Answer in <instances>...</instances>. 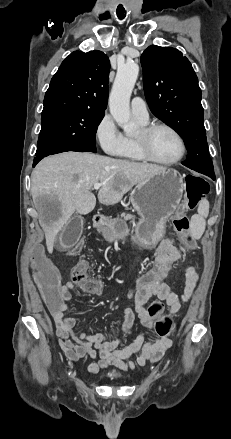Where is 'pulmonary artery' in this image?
I'll return each instance as SVG.
<instances>
[{"label":"pulmonary artery","mask_w":231,"mask_h":439,"mask_svg":"<svg viewBox=\"0 0 231 439\" xmlns=\"http://www.w3.org/2000/svg\"><path fill=\"white\" fill-rule=\"evenodd\" d=\"M131 113L139 121L148 122L149 113L145 101L140 97H134L131 101Z\"/></svg>","instance_id":"obj_1"}]
</instances>
